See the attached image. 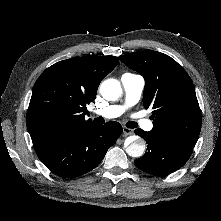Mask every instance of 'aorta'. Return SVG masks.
I'll use <instances>...</instances> for the list:
<instances>
[{
  "label": "aorta",
  "mask_w": 221,
  "mask_h": 221,
  "mask_svg": "<svg viewBox=\"0 0 221 221\" xmlns=\"http://www.w3.org/2000/svg\"><path fill=\"white\" fill-rule=\"evenodd\" d=\"M100 94L106 100H117L122 94L120 82L116 79H107L103 81L100 85ZM126 152L131 157H141L145 152L144 141L139 138L133 139L126 147Z\"/></svg>",
  "instance_id": "762f6f07"
}]
</instances>
